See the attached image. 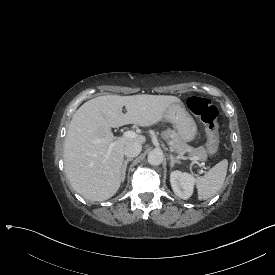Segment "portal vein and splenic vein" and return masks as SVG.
<instances>
[{
	"label": "portal vein and splenic vein",
	"mask_w": 275,
	"mask_h": 275,
	"mask_svg": "<svg viewBox=\"0 0 275 275\" xmlns=\"http://www.w3.org/2000/svg\"><path fill=\"white\" fill-rule=\"evenodd\" d=\"M125 136H126L127 138H138V137H139V134L136 133L135 131H127V132L125 133ZM187 159L193 161V160H194V157H188ZM203 165H204V163L198 164L197 173H199V174L202 173V171L199 170V167H201V166H203Z\"/></svg>",
	"instance_id": "portal-vein-and-splenic-vein-1"
}]
</instances>
